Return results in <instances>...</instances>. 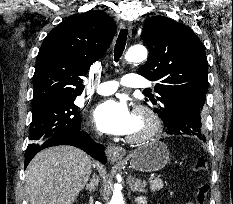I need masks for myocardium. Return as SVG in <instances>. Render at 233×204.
Here are the masks:
<instances>
[{
  "label": "myocardium",
  "mask_w": 233,
  "mask_h": 204,
  "mask_svg": "<svg viewBox=\"0 0 233 204\" xmlns=\"http://www.w3.org/2000/svg\"><path fill=\"white\" fill-rule=\"evenodd\" d=\"M134 115L143 119L146 123V127L140 133L128 135V142L140 143L156 135L160 128V120L152 109L146 105H137L134 108Z\"/></svg>",
  "instance_id": "myocardium-1"
}]
</instances>
